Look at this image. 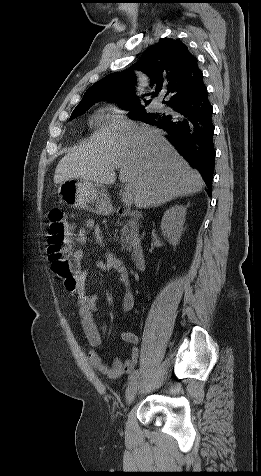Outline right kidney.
<instances>
[{"label":"right kidney","mask_w":261,"mask_h":476,"mask_svg":"<svg viewBox=\"0 0 261 476\" xmlns=\"http://www.w3.org/2000/svg\"><path fill=\"white\" fill-rule=\"evenodd\" d=\"M187 208L183 205H174L164 213L161 221V230L169 243L176 246L179 243Z\"/></svg>","instance_id":"ca27d5eb"}]
</instances>
